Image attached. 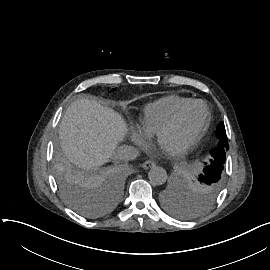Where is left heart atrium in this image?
<instances>
[{"label": "left heart atrium", "mask_w": 270, "mask_h": 270, "mask_svg": "<svg viewBox=\"0 0 270 270\" xmlns=\"http://www.w3.org/2000/svg\"><path fill=\"white\" fill-rule=\"evenodd\" d=\"M174 151V148L165 144V143H160V144H156L153 145L148 151L147 154L150 157L153 158H157L160 157L162 155L168 154V153H172Z\"/></svg>", "instance_id": "1"}]
</instances>
